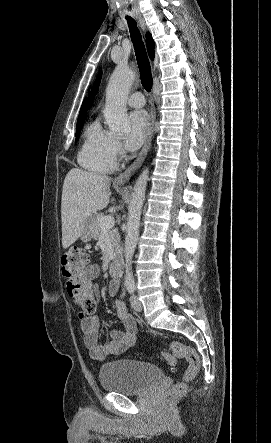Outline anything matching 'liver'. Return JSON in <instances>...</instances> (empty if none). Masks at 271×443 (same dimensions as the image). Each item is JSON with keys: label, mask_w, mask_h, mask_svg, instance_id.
Returning a JSON list of instances; mask_svg holds the SVG:
<instances>
[{"label": "liver", "mask_w": 271, "mask_h": 443, "mask_svg": "<svg viewBox=\"0 0 271 443\" xmlns=\"http://www.w3.org/2000/svg\"><path fill=\"white\" fill-rule=\"evenodd\" d=\"M111 178L72 168L62 190V245H72L82 235L87 218L104 210L109 204Z\"/></svg>", "instance_id": "6515ba94"}]
</instances>
